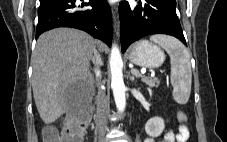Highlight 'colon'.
<instances>
[{
  "label": "colon",
  "instance_id": "5ec220e1",
  "mask_svg": "<svg viewBox=\"0 0 227 142\" xmlns=\"http://www.w3.org/2000/svg\"><path fill=\"white\" fill-rule=\"evenodd\" d=\"M180 126L185 138H189V129L184 112H178ZM88 116L86 114L74 115L70 122L61 130L56 126H47L43 129V142H81L83 131L87 125Z\"/></svg>",
  "mask_w": 227,
  "mask_h": 142
}]
</instances>
